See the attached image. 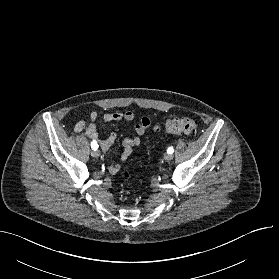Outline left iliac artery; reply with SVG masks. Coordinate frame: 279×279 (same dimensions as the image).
Here are the masks:
<instances>
[{"label":"left iliac artery","mask_w":279,"mask_h":279,"mask_svg":"<svg viewBox=\"0 0 279 279\" xmlns=\"http://www.w3.org/2000/svg\"><path fill=\"white\" fill-rule=\"evenodd\" d=\"M167 152L170 153V154H172V153L174 152V149H173L172 147H169V148L167 149Z\"/></svg>","instance_id":"obj_1"}]
</instances>
